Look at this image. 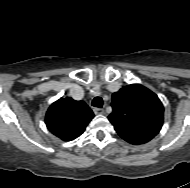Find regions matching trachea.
<instances>
[{
	"instance_id": "obj_1",
	"label": "trachea",
	"mask_w": 190,
	"mask_h": 188,
	"mask_svg": "<svg viewBox=\"0 0 190 188\" xmlns=\"http://www.w3.org/2000/svg\"><path fill=\"white\" fill-rule=\"evenodd\" d=\"M92 106L97 107V108H101L103 106V100L101 97H95L92 100Z\"/></svg>"
}]
</instances>
